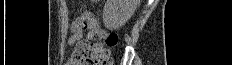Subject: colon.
<instances>
[{
  "instance_id": "obj_1",
  "label": "colon",
  "mask_w": 232,
  "mask_h": 65,
  "mask_svg": "<svg viewBox=\"0 0 232 65\" xmlns=\"http://www.w3.org/2000/svg\"><path fill=\"white\" fill-rule=\"evenodd\" d=\"M117 42L116 34H107L102 41L90 35L77 45V51L86 65H112L108 49L114 47Z\"/></svg>"
}]
</instances>
